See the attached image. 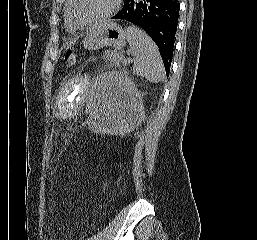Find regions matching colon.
Wrapping results in <instances>:
<instances>
[{
  "instance_id": "1",
  "label": "colon",
  "mask_w": 257,
  "mask_h": 240,
  "mask_svg": "<svg viewBox=\"0 0 257 240\" xmlns=\"http://www.w3.org/2000/svg\"><path fill=\"white\" fill-rule=\"evenodd\" d=\"M78 61V54L74 51H67L65 54V62L68 66H74ZM53 157V141L49 140L48 143V158L52 159Z\"/></svg>"
}]
</instances>
